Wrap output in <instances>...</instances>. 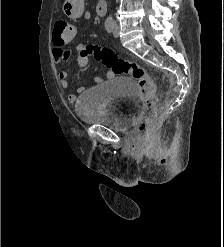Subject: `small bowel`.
Here are the masks:
<instances>
[{"label":"small bowel","mask_w":224,"mask_h":247,"mask_svg":"<svg viewBox=\"0 0 224 247\" xmlns=\"http://www.w3.org/2000/svg\"><path fill=\"white\" fill-rule=\"evenodd\" d=\"M64 12L71 18H83L85 20L91 19L92 15L90 12L84 10V0H65L63 6ZM69 42H61L53 39V58L57 63H61L68 59L70 52L65 48V45ZM84 47L83 44H77L76 50L79 52ZM109 73L108 76H111ZM59 84L61 88L67 89L69 82L67 79V71L60 69L57 73ZM67 99L69 102L73 103L76 101V96L73 94H68Z\"/></svg>","instance_id":"c3829d8e"}]
</instances>
